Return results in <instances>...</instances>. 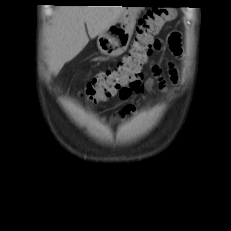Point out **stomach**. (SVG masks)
<instances>
[{"label": "stomach", "mask_w": 231, "mask_h": 231, "mask_svg": "<svg viewBox=\"0 0 231 231\" xmlns=\"http://www.w3.org/2000/svg\"><path fill=\"white\" fill-rule=\"evenodd\" d=\"M141 9V7H129L115 23L98 35L97 45L102 54L118 56L126 51Z\"/></svg>", "instance_id": "1"}]
</instances>
